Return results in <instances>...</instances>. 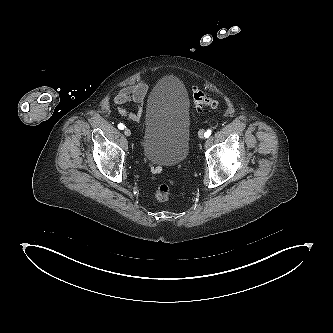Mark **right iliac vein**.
Masks as SVG:
<instances>
[{
	"instance_id": "right-iliac-vein-1",
	"label": "right iliac vein",
	"mask_w": 333,
	"mask_h": 333,
	"mask_svg": "<svg viewBox=\"0 0 333 333\" xmlns=\"http://www.w3.org/2000/svg\"><path fill=\"white\" fill-rule=\"evenodd\" d=\"M124 134H125L126 136H130V135H131V131H130V129L126 128V129L124 130Z\"/></svg>"
}]
</instances>
